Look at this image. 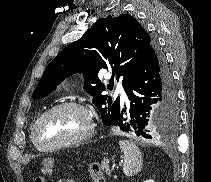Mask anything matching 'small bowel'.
<instances>
[{
	"mask_svg": "<svg viewBox=\"0 0 211 182\" xmlns=\"http://www.w3.org/2000/svg\"><path fill=\"white\" fill-rule=\"evenodd\" d=\"M59 182H75V181H73V180H61Z\"/></svg>",
	"mask_w": 211,
	"mask_h": 182,
	"instance_id": "obj_1",
	"label": "small bowel"
}]
</instances>
